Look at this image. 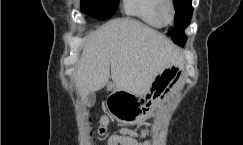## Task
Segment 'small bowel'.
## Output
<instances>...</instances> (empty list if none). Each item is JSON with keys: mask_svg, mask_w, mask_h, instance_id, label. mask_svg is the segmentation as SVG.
I'll use <instances>...</instances> for the list:
<instances>
[{"mask_svg": "<svg viewBox=\"0 0 243 145\" xmlns=\"http://www.w3.org/2000/svg\"><path fill=\"white\" fill-rule=\"evenodd\" d=\"M144 138V133H137L128 129H121L119 133L111 135L107 145H148V142H139Z\"/></svg>", "mask_w": 243, "mask_h": 145, "instance_id": "c3829d8e", "label": "small bowel"}]
</instances>
